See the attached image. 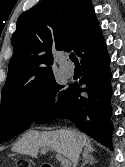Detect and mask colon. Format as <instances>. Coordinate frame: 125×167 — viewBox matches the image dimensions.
Segmentation results:
<instances>
[{
    "mask_svg": "<svg viewBox=\"0 0 125 167\" xmlns=\"http://www.w3.org/2000/svg\"><path fill=\"white\" fill-rule=\"evenodd\" d=\"M16 167H32V163L29 160L21 159L17 161Z\"/></svg>",
    "mask_w": 125,
    "mask_h": 167,
    "instance_id": "1",
    "label": "colon"
}]
</instances>
